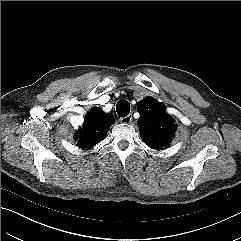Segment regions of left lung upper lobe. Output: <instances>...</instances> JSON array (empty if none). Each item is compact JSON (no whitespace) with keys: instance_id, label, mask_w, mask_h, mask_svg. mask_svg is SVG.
<instances>
[{"instance_id":"left-lung-upper-lobe-1","label":"left lung upper lobe","mask_w":241,"mask_h":241,"mask_svg":"<svg viewBox=\"0 0 241 241\" xmlns=\"http://www.w3.org/2000/svg\"><path fill=\"white\" fill-rule=\"evenodd\" d=\"M138 125L143 141L152 149L162 150L171 141L176 129L173 118L165 112V106L147 98L138 104Z\"/></svg>"}]
</instances>
